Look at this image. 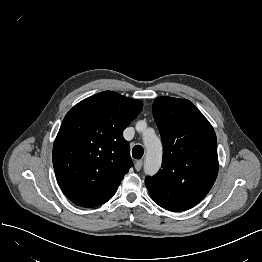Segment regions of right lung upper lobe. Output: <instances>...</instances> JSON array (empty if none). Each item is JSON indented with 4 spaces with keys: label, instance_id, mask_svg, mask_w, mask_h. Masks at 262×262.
Masks as SVG:
<instances>
[{
    "label": "right lung upper lobe",
    "instance_id": "1",
    "mask_svg": "<svg viewBox=\"0 0 262 262\" xmlns=\"http://www.w3.org/2000/svg\"><path fill=\"white\" fill-rule=\"evenodd\" d=\"M140 100L103 91L65 116L53 147V166L65 195L76 205L96 207L112 198L133 166L124 129L141 112Z\"/></svg>",
    "mask_w": 262,
    "mask_h": 262
}]
</instances>
